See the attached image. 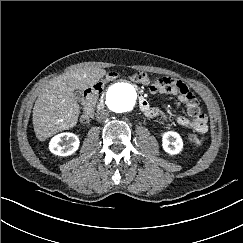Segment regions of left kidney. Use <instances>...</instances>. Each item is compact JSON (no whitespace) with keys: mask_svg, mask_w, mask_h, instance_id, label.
<instances>
[{"mask_svg":"<svg viewBox=\"0 0 243 243\" xmlns=\"http://www.w3.org/2000/svg\"><path fill=\"white\" fill-rule=\"evenodd\" d=\"M162 147L165 152L175 155L181 152L183 141L181 136L174 131H167L162 135Z\"/></svg>","mask_w":243,"mask_h":243,"instance_id":"1","label":"left kidney"}]
</instances>
